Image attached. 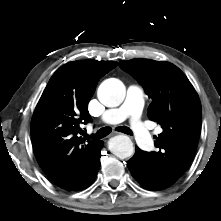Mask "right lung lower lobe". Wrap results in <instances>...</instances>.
I'll return each mask as SVG.
<instances>
[{"label": "right lung lower lobe", "instance_id": "obj_1", "mask_svg": "<svg viewBox=\"0 0 221 221\" xmlns=\"http://www.w3.org/2000/svg\"><path fill=\"white\" fill-rule=\"evenodd\" d=\"M102 147H103V142H101L99 144L98 148L96 149L94 161H93L92 165L90 166L86 176L84 177V179L81 182H79L75 187H73L71 189V191L84 189L93 183V181L97 175V172L99 170V167H100V157H101Z\"/></svg>", "mask_w": 221, "mask_h": 221}]
</instances>
